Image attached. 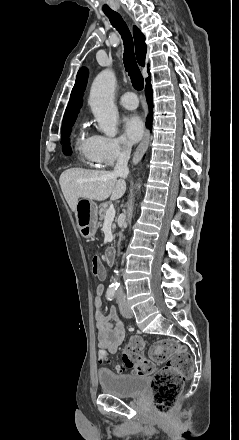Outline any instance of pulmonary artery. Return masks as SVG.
Masks as SVG:
<instances>
[{
    "mask_svg": "<svg viewBox=\"0 0 239 440\" xmlns=\"http://www.w3.org/2000/svg\"><path fill=\"white\" fill-rule=\"evenodd\" d=\"M135 93L133 92H127L124 93L120 98H119V103L120 105H122L124 108L126 109H135L138 106V102L137 101H132L131 98L135 97Z\"/></svg>",
    "mask_w": 239,
    "mask_h": 440,
    "instance_id": "obj_1",
    "label": "pulmonary artery"
}]
</instances>
